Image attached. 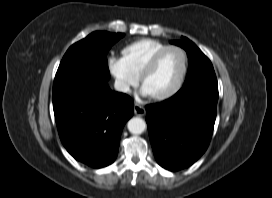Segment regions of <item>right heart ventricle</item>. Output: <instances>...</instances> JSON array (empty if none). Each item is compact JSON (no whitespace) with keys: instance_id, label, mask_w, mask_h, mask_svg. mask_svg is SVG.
Wrapping results in <instances>:
<instances>
[{"instance_id":"right-heart-ventricle-1","label":"right heart ventricle","mask_w":272,"mask_h":198,"mask_svg":"<svg viewBox=\"0 0 272 198\" xmlns=\"http://www.w3.org/2000/svg\"><path fill=\"white\" fill-rule=\"evenodd\" d=\"M166 46L168 45L159 40L151 38L140 39L126 45L122 49V58L130 70L136 76H139L152 56Z\"/></svg>"}]
</instances>
